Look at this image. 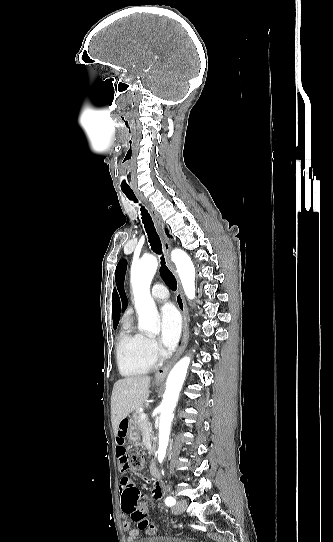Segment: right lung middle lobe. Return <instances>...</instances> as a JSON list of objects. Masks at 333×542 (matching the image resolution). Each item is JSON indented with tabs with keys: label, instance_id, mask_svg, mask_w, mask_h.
I'll return each mask as SVG.
<instances>
[{
	"label": "right lung middle lobe",
	"instance_id": "obj_1",
	"mask_svg": "<svg viewBox=\"0 0 333 542\" xmlns=\"http://www.w3.org/2000/svg\"><path fill=\"white\" fill-rule=\"evenodd\" d=\"M113 327H114V329H116L117 325H116V326H113Z\"/></svg>",
	"mask_w": 333,
	"mask_h": 542
}]
</instances>
